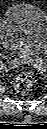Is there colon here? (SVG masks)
Masks as SVG:
<instances>
[{
	"label": "colon",
	"instance_id": "colon-1",
	"mask_svg": "<svg viewBox=\"0 0 47 129\" xmlns=\"http://www.w3.org/2000/svg\"><path fill=\"white\" fill-rule=\"evenodd\" d=\"M32 83V76L29 73H22L16 77L14 87L19 93H27L31 89Z\"/></svg>",
	"mask_w": 47,
	"mask_h": 129
}]
</instances>
